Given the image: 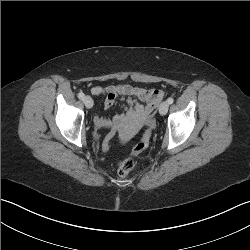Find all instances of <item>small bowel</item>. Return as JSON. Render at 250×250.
<instances>
[{"instance_id": "c3829d8e", "label": "small bowel", "mask_w": 250, "mask_h": 250, "mask_svg": "<svg viewBox=\"0 0 250 250\" xmlns=\"http://www.w3.org/2000/svg\"><path fill=\"white\" fill-rule=\"evenodd\" d=\"M91 92L94 95L104 96L103 106L106 110L112 108L119 97L127 101L123 111L111 118L96 115L94 122L99 128L115 126L126 118L143 121L159 103V90L136 87L130 84H116L105 87L93 86Z\"/></svg>"}]
</instances>
